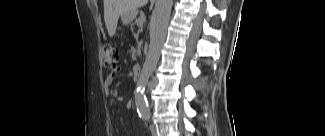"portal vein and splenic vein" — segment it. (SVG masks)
<instances>
[{"mask_svg": "<svg viewBox=\"0 0 325 136\" xmlns=\"http://www.w3.org/2000/svg\"><path fill=\"white\" fill-rule=\"evenodd\" d=\"M144 20H145L144 16H142V17L139 19L140 25L143 24Z\"/></svg>", "mask_w": 325, "mask_h": 136, "instance_id": "18ae733b", "label": "portal vein and splenic vein"}]
</instances>
